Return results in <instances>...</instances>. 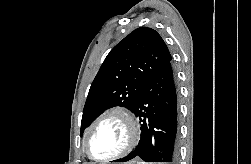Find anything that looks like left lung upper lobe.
<instances>
[{
  "label": "left lung upper lobe",
  "mask_w": 251,
  "mask_h": 164,
  "mask_svg": "<svg viewBox=\"0 0 251 164\" xmlns=\"http://www.w3.org/2000/svg\"><path fill=\"white\" fill-rule=\"evenodd\" d=\"M171 59L166 44L155 30L140 27L127 35L107 55L91 84L81 133L108 107L120 105L133 112L145 85Z\"/></svg>",
  "instance_id": "5c2ea615"
}]
</instances>
